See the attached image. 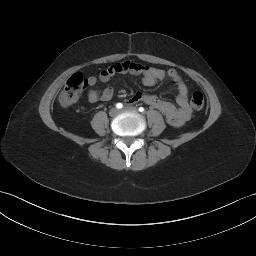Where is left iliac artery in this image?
Returning a JSON list of instances; mask_svg holds the SVG:
<instances>
[{
    "instance_id": "1",
    "label": "left iliac artery",
    "mask_w": 256,
    "mask_h": 256,
    "mask_svg": "<svg viewBox=\"0 0 256 256\" xmlns=\"http://www.w3.org/2000/svg\"><path fill=\"white\" fill-rule=\"evenodd\" d=\"M139 111H140V112H144L145 110H144L143 107H140V108H139Z\"/></svg>"
}]
</instances>
